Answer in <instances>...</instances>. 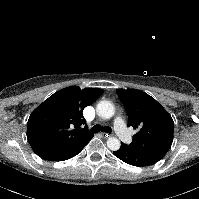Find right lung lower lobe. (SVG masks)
Listing matches in <instances>:
<instances>
[{
    "mask_svg": "<svg viewBox=\"0 0 199 199\" xmlns=\"http://www.w3.org/2000/svg\"><path fill=\"white\" fill-rule=\"evenodd\" d=\"M92 137L93 134L63 149L52 152L38 153V155L41 158L49 161L67 160L79 154L82 151V149L85 147V145L92 139Z\"/></svg>",
    "mask_w": 199,
    "mask_h": 199,
    "instance_id": "1",
    "label": "right lung lower lobe"
}]
</instances>
